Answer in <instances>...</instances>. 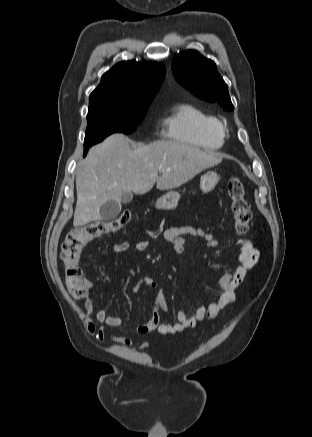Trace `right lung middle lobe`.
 Instances as JSON below:
<instances>
[{"mask_svg":"<svg viewBox=\"0 0 312 437\" xmlns=\"http://www.w3.org/2000/svg\"><path fill=\"white\" fill-rule=\"evenodd\" d=\"M146 110L137 113L93 111L87 115V130L84 141V156L90 146L103 141L113 133L129 134L140 124Z\"/></svg>","mask_w":312,"mask_h":437,"instance_id":"obj_1","label":"right lung middle lobe"}]
</instances>
